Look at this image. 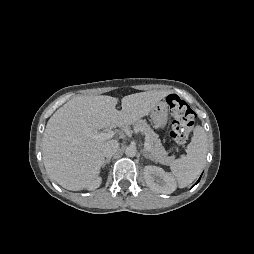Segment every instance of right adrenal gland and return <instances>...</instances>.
<instances>
[{"label":"right adrenal gland","instance_id":"1","mask_svg":"<svg viewBox=\"0 0 254 254\" xmlns=\"http://www.w3.org/2000/svg\"><path fill=\"white\" fill-rule=\"evenodd\" d=\"M110 161H111V158L106 159V160L104 161L102 167L104 168L106 164H109V163H110Z\"/></svg>","mask_w":254,"mask_h":254}]
</instances>
